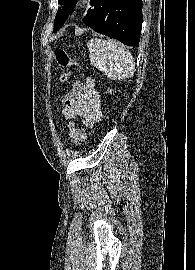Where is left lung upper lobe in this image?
Listing matches in <instances>:
<instances>
[{
	"mask_svg": "<svg viewBox=\"0 0 195 270\" xmlns=\"http://www.w3.org/2000/svg\"><path fill=\"white\" fill-rule=\"evenodd\" d=\"M59 4L63 5L62 9H58L54 20V32L60 29V27L64 24L65 20L70 14L74 6L76 4V0H58Z\"/></svg>",
	"mask_w": 195,
	"mask_h": 270,
	"instance_id": "obj_1",
	"label": "left lung upper lobe"
}]
</instances>
